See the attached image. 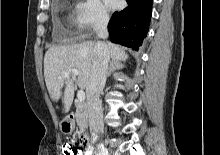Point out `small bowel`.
I'll use <instances>...</instances> for the list:
<instances>
[{"instance_id":"c3829d8e","label":"small bowel","mask_w":220,"mask_h":155,"mask_svg":"<svg viewBox=\"0 0 220 155\" xmlns=\"http://www.w3.org/2000/svg\"><path fill=\"white\" fill-rule=\"evenodd\" d=\"M70 143L69 141L67 142ZM77 145H86V136H77Z\"/></svg>"}]
</instances>
